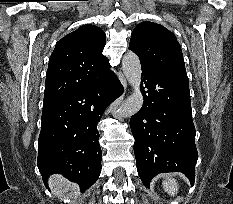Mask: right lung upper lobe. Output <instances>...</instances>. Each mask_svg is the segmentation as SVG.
I'll list each match as a JSON object with an SVG mask.
<instances>
[{
	"instance_id": "cb5924a9",
	"label": "right lung upper lobe",
	"mask_w": 233,
	"mask_h": 204,
	"mask_svg": "<svg viewBox=\"0 0 233 204\" xmlns=\"http://www.w3.org/2000/svg\"><path fill=\"white\" fill-rule=\"evenodd\" d=\"M105 33L94 25H83L55 46L46 75L44 104L85 88L109 67L102 54Z\"/></svg>"
}]
</instances>
